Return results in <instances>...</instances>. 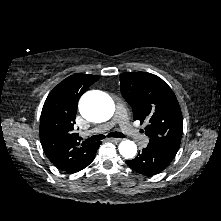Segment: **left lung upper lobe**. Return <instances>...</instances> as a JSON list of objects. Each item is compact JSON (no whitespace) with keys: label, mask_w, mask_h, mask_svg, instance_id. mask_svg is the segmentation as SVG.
I'll list each match as a JSON object with an SVG mask.
<instances>
[{"label":"left lung upper lobe","mask_w":221,"mask_h":221,"mask_svg":"<svg viewBox=\"0 0 221 221\" xmlns=\"http://www.w3.org/2000/svg\"><path fill=\"white\" fill-rule=\"evenodd\" d=\"M120 89L133 109L134 120L148 122V145L176 155L183 131L182 113L171 88L158 76L146 72L120 74Z\"/></svg>","instance_id":"obj_1"}]
</instances>
